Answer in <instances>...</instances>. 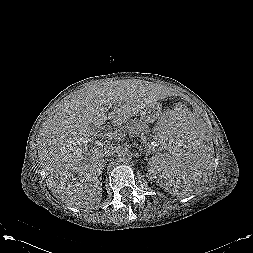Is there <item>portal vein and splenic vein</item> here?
Returning <instances> with one entry per match:
<instances>
[{
    "label": "portal vein and splenic vein",
    "mask_w": 253,
    "mask_h": 253,
    "mask_svg": "<svg viewBox=\"0 0 253 253\" xmlns=\"http://www.w3.org/2000/svg\"><path fill=\"white\" fill-rule=\"evenodd\" d=\"M105 135H106L108 138H117V137H118V134H117V133H115V132H110V131H108L107 133H105ZM140 138H141V137H140ZM144 146H145L146 149L149 148V147H148V146H149V143H148V142L145 143Z\"/></svg>",
    "instance_id": "obj_1"
}]
</instances>
